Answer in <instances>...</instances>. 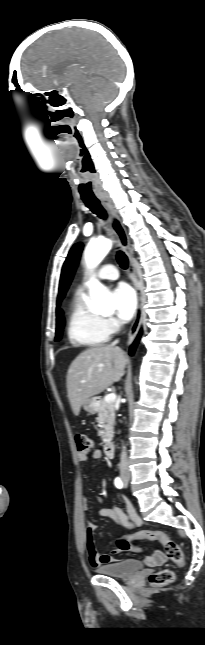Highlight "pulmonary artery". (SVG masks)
<instances>
[{"label": "pulmonary artery", "instance_id": "e3ab8cb5", "mask_svg": "<svg viewBox=\"0 0 205 645\" xmlns=\"http://www.w3.org/2000/svg\"><path fill=\"white\" fill-rule=\"evenodd\" d=\"M119 277L117 268L111 264L104 265L97 273L100 280H116Z\"/></svg>", "mask_w": 205, "mask_h": 645}]
</instances>
